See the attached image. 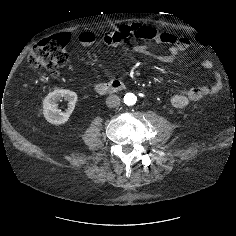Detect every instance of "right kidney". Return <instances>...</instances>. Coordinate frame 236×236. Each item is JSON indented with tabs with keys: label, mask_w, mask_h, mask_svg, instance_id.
<instances>
[{
	"label": "right kidney",
	"mask_w": 236,
	"mask_h": 236,
	"mask_svg": "<svg viewBox=\"0 0 236 236\" xmlns=\"http://www.w3.org/2000/svg\"><path fill=\"white\" fill-rule=\"evenodd\" d=\"M64 98L68 101V108L65 112H60L57 102ZM77 101V94L70 90H55L50 92L43 100V114L45 119L55 125L64 124L68 121L74 110Z\"/></svg>",
	"instance_id": "ca27d5eb"
}]
</instances>
